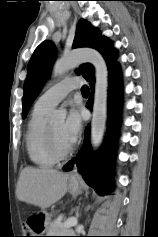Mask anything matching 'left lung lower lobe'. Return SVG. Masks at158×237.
<instances>
[{"mask_svg": "<svg viewBox=\"0 0 158 237\" xmlns=\"http://www.w3.org/2000/svg\"><path fill=\"white\" fill-rule=\"evenodd\" d=\"M108 72V132L105 146L99 154L93 155L89 142V130H87L84 144L77 157L69 161L63 168L65 171H70L73 165L76 164L85 182L100 194L109 193L112 189L110 176L114 162L122 104V85L119 64L115 62L108 68ZM89 82L92 92L87 102V107L91 109L93 104L94 79Z\"/></svg>", "mask_w": 158, "mask_h": 237, "instance_id": "left-lung-lower-lobe-1", "label": "left lung lower lobe"}]
</instances>
